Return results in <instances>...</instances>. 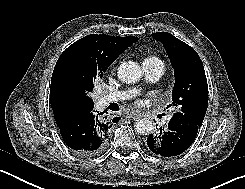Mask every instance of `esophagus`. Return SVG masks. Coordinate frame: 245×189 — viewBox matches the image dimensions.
Listing matches in <instances>:
<instances>
[{
  "instance_id": "34e87169",
  "label": "esophagus",
  "mask_w": 245,
  "mask_h": 189,
  "mask_svg": "<svg viewBox=\"0 0 245 189\" xmlns=\"http://www.w3.org/2000/svg\"><path fill=\"white\" fill-rule=\"evenodd\" d=\"M128 118L131 119H137L139 117V113L136 111L130 112L129 114H127Z\"/></svg>"
}]
</instances>
